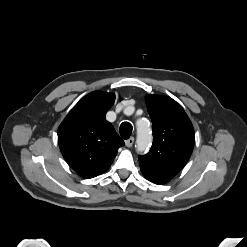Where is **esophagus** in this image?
I'll return each instance as SVG.
<instances>
[{
  "label": "esophagus",
  "mask_w": 247,
  "mask_h": 247,
  "mask_svg": "<svg viewBox=\"0 0 247 247\" xmlns=\"http://www.w3.org/2000/svg\"><path fill=\"white\" fill-rule=\"evenodd\" d=\"M133 144H134V137H130L125 141V145L129 148L132 147Z\"/></svg>",
  "instance_id": "obj_1"
}]
</instances>
